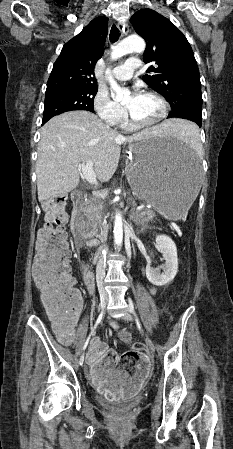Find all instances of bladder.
Instances as JSON below:
<instances>
[{"mask_svg": "<svg viewBox=\"0 0 233 449\" xmlns=\"http://www.w3.org/2000/svg\"><path fill=\"white\" fill-rule=\"evenodd\" d=\"M141 400L140 396L131 398V399H123V400H104L100 399V403L102 406L115 410H127L136 406Z\"/></svg>", "mask_w": 233, "mask_h": 449, "instance_id": "bladder-1", "label": "bladder"}]
</instances>
